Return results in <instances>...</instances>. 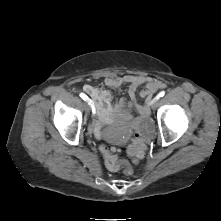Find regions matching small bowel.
Segmentation results:
<instances>
[{"mask_svg":"<svg viewBox=\"0 0 221 221\" xmlns=\"http://www.w3.org/2000/svg\"><path fill=\"white\" fill-rule=\"evenodd\" d=\"M103 85L104 88H97L90 84H85L83 87V90L92 99L94 110L98 116V120L93 126V132L96 137L100 136L102 125L112 120L116 115L122 119H130L127 107H130L131 104L127 105L124 101L113 102L107 88L118 89L123 85H128V93L133 100L140 87H143L139 91V96L142 98H149L164 87L161 81L141 75L107 77L104 79ZM135 109L141 116H146L147 108L145 106L135 105Z\"/></svg>","mask_w":221,"mask_h":221,"instance_id":"small-bowel-1","label":"small bowel"}]
</instances>
